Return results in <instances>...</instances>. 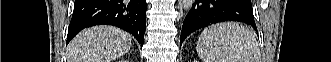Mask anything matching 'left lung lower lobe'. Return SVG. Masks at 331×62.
<instances>
[{
	"label": "left lung lower lobe",
	"mask_w": 331,
	"mask_h": 62,
	"mask_svg": "<svg viewBox=\"0 0 331 62\" xmlns=\"http://www.w3.org/2000/svg\"><path fill=\"white\" fill-rule=\"evenodd\" d=\"M223 21L243 22L257 30L250 0H196L185 17L180 45L192 32Z\"/></svg>",
	"instance_id": "left-lung-lower-lobe-1"
}]
</instances>
